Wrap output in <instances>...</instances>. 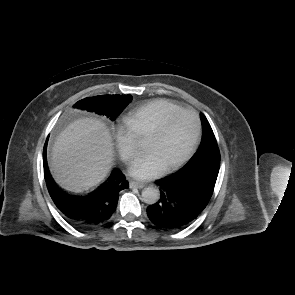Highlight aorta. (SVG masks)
<instances>
[{
  "instance_id": "1",
  "label": "aorta",
  "mask_w": 295,
  "mask_h": 295,
  "mask_svg": "<svg viewBox=\"0 0 295 295\" xmlns=\"http://www.w3.org/2000/svg\"><path fill=\"white\" fill-rule=\"evenodd\" d=\"M142 200L149 205L155 204L160 198V192L154 187L144 188L142 191Z\"/></svg>"
}]
</instances>
